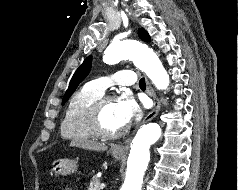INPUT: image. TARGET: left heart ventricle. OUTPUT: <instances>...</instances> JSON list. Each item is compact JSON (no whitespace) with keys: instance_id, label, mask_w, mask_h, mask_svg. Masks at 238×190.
<instances>
[{"instance_id":"b2bd125f","label":"left heart ventricle","mask_w":238,"mask_h":190,"mask_svg":"<svg viewBox=\"0 0 238 190\" xmlns=\"http://www.w3.org/2000/svg\"><path fill=\"white\" fill-rule=\"evenodd\" d=\"M102 122L104 127L111 131L118 130L127 124L121 115L118 100L108 102L105 105Z\"/></svg>"}]
</instances>
